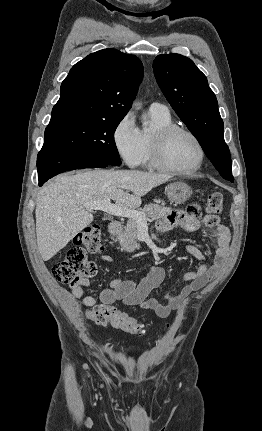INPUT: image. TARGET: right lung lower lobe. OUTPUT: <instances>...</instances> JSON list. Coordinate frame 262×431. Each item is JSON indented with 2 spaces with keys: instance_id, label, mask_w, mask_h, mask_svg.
I'll use <instances>...</instances> for the list:
<instances>
[{
  "instance_id": "right-lung-lower-lobe-1",
  "label": "right lung lower lobe",
  "mask_w": 262,
  "mask_h": 431,
  "mask_svg": "<svg viewBox=\"0 0 262 431\" xmlns=\"http://www.w3.org/2000/svg\"><path fill=\"white\" fill-rule=\"evenodd\" d=\"M109 164L82 154L63 151H43L37 157L39 186L48 179L65 171L82 168H104Z\"/></svg>"
}]
</instances>
